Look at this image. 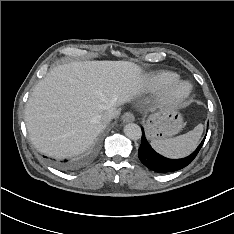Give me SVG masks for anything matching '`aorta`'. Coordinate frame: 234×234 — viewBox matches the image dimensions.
<instances>
[{
	"label": "aorta",
	"mask_w": 234,
	"mask_h": 234,
	"mask_svg": "<svg viewBox=\"0 0 234 234\" xmlns=\"http://www.w3.org/2000/svg\"><path fill=\"white\" fill-rule=\"evenodd\" d=\"M125 135L131 140H139L141 138L142 132L139 125L135 123H128L124 127Z\"/></svg>",
	"instance_id": "1"
}]
</instances>
